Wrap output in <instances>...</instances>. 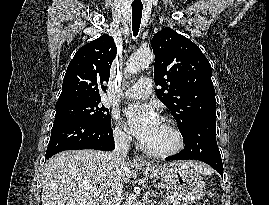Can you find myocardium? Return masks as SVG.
Returning <instances> with one entry per match:
<instances>
[{"label":"myocardium","mask_w":269,"mask_h":205,"mask_svg":"<svg viewBox=\"0 0 269 205\" xmlns=\"http://www.w3.org/2000/svg\"><path fill=\"white\" fill-rule=\"evenodd\" d=\"M162 121L168 124L172 134L174 135L175 144L173 147L166 150H161V151L150 149L146 145L143 146V150L145 151V153L156 158H166V157L173 156L179 153L184 148V145H185L184 135L181 129L179 128L177 122L169 116H163Z\"/></svg>","instance_id":"obj_1"}]
</instances>
